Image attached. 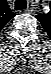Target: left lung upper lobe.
Listing matches in <instances>:
<instances>
[{"mask_svg":"<svg viewBox=\"0 0 51 74\" xmlns=\"http://www.w3.org/2000/svg\"><path fill=\"white\" fill-rule=\"evenodd\" d=\"M45 14H39L36 16V18L41 22L42 26L44 25L45 21H43L45 18Z\"/></svg>","mask_w":51,"mask_h":74,"instance_id":"obj_1","label":"left lung upper lobe"}]
</instances>
